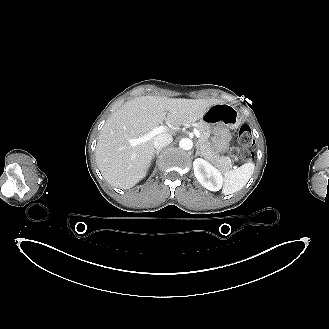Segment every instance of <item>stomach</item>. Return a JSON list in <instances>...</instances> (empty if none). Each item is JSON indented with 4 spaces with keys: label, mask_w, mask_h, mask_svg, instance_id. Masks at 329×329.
Wrapping results in <instances>:
<instances>
[{
    "label": "stomach",
    "mask_w": 329,
    "mask_h": 329,
    "mask_svg": "<svg viewBox=\"0 0 329 329\" xmlns=\"http://www.w3.org/2000/svg\"><path fill=\"white\" fill-rule=\"evenodd\" d=\"M207 123L219 122L230 129H236L242 122L238 110L225 102L212 105L202 117Z\"/></svg>",
    "instance_id": "stomach-1"
}]
</instances>
